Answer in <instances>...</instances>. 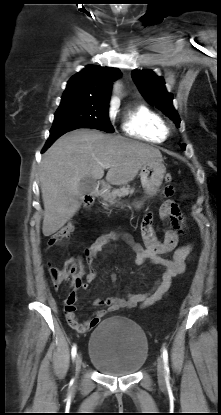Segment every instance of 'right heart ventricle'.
I'll use <instances>...</instances> for the list:
<instances>
[{
  "label": "right heart ventricle",
  "mask_w": 221,
  "mask_h": 415,
  "mask_svg": "<svg viewBox=\"0 0 221 415\" xmlns=\"http://www.w3.org/2000/svg\"><path fill=\"white\" fill-rule=\"evenodd\" d=\"M121 129L129 137L151 143H161L169 134L164 118L144 104L134 105L126 111Z\"/></svg>",
  "instance_id": "right-heart-ventricle-1"
}]
</instances>
